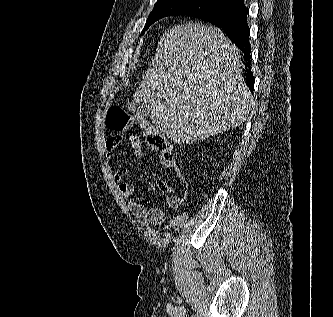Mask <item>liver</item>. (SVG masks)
Returning <instances> with one entry per match:
<instances>
[{
  "label": "liver",
  "mask_w": 333,
  "mask_h": 317,
  "mask_svg": "<svg viewBox=\"0 0 333 317\" xmlns=\"http://www.w3.org/2000/svg\"><path fill=\"white\" fill-rule=\"evenodd\" d=\"M242 67L221 30L177 25L162 35L134 101L172 141L195 143L240 126L254 108Z\"/></svg>",
  "instance_id": "liver-1"
}]
</instances>
